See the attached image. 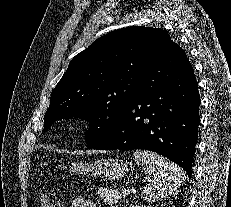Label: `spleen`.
<instances>
[{"mask_svg":"<svg viewBox=\"0 0 231 207\" xmlns=\"http://www.w3.org/2000/svg\"><path fill=\"white\" fill-rule=\"evenodd\" d=\"M133 158L148 174V183L144 187V198L149 202L166 198L186 180L184 170L154 152L136 150Z\"/></svg>","mask_w":231,"mask_h":207,"instance_id":"spleen-1","label":"spleen"}]
</instances>
